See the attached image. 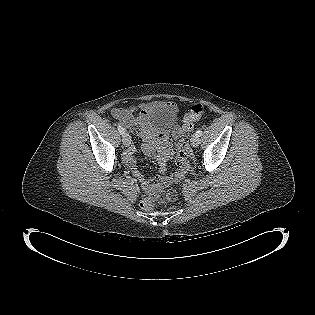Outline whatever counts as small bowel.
Instances as JSON below:
<instances>
[{
    "label": "small bowel",
    "mask_w": 315,
    "mask_h": 315,
    "mask_svg": "<svg viewBox=\"0 0 315 315\" xmlns=\"http://www.w3.org/2000/svg\"><path fill=\"white\" fill-rule=\"evenodd\" d=\"M158 109L167 110L173 115L179 112L178 106L172 101H152L139 105L115 107L112 110V116L140 137L142 149L156 159L161 173L164 174L167 171V161L172 156L171 136L166 132H152L147 127L149 114ZM124 161L145 192H150L155 183L165 180L158 176L149 179L140 172L137 168L134 148L126 152Z\"/></svg>",
    "instance_id": "1"
}]
</instances>
